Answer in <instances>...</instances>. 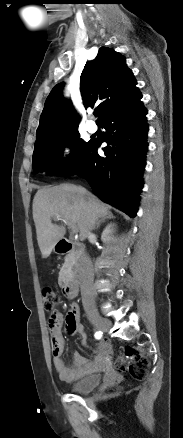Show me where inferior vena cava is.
Wrapping results in <instances>:
<instances>
[{
  "mask_svg": "<svg viewBox=\"0 0 183 438\" xmlns=\"http://www.w3.org/2000/svg\"><path fill=\"white\" fill-rule=\"evenodd\" d=\"M88 236L91 237L92 234L89 232ZM80 270L82 275V302L87 310L94 307L95 304L92 292L94 273L91 260L87 254L81 256Z\"/></svg>",
  "mask_w": 183,
  "mask_h": 438,
  "instance_id": "602c4592",
  "label": "inferior vena cava"
}]
</instances>
